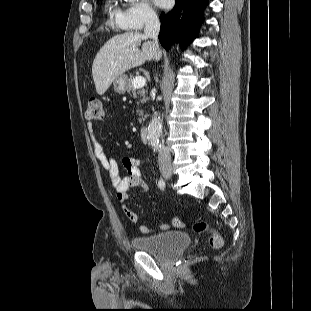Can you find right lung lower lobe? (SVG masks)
I'll return each instance as SVG.
<instances>
[{"instance_id": "98d812e1", "label": "right lung lower lobe", "mask_w": 311, "mask_h": 311, "mask_svg": "<svg viewBox=\"0 0 311 311\" xmlns=\"http://www.w3.org/2000/svg\"><path fill=\"white\" fill-rule=\"evenodd\" d=\"M174 8L168 13H161V31L159 41L168 50L171 43L177 40L184 48L196 37L204 21L203 11L208 0H175Z\"/></svg>"}]
</instances>
